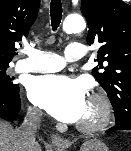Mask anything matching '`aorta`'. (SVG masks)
Returning <instances> with one entry per match:
<instances>
[{
	"label": "aorta",
	"instance_id": "1",
	"mask_svg": "<svg viewBox=\"0 0 131 151\" xmlns=\"http://www.w3.org/2000/svg\"><path fill=\"white\" fill-rule=\"evenodd\" d=\"M85 27L86 24L83 17L78 14L67 16L63 22V30L67 34L80 32Z\"/></svg>",
	"mask_w": 131,
	"mask_h": 151
}]
</instances>
